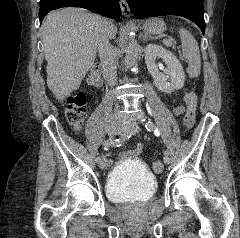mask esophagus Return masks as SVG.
<instances>
[{
  "mask_svg": "<svg viewBox=\"0 0 240 238\" xmlns=\"http://www.w3.org/2000/svg\"><path fill=\"white\" fill-rule=\"evenodd\" d=\"M119 4H120L121 11H122V15L125 18H129L131 16V10H130V7H129L127 1L119 0Z\"/></svg>",
  "mask_w": 240,
  "mask_h": 238,
  "instance_id": "esophagus-1",
  "label": "esophagus"
}]
</instances>
